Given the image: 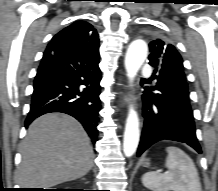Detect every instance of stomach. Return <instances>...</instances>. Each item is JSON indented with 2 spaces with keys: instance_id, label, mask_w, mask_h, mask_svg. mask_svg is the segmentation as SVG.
Here are the masks:
<instances>
[{
  "instance_id": "0dacf381",
  "label": "stomach",
  "mask_w": 218,
  "mask_h": 191,
  "mask_svg": "<svg viewBox=\"0 0 218 191\" xmlns=\"http://www.w3.org/2000/svg\"><path fill=\"white\" fill-rule=\"evenodd\" d=\"M142 164H143V166H149L150 165V160L149 159H144Z\"/></svg>"
}]
</instances>
